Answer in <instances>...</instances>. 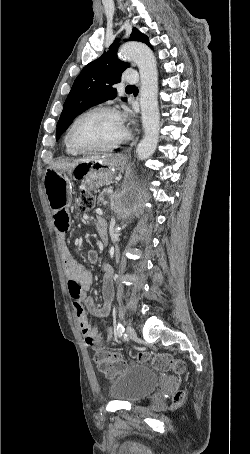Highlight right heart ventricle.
I'll list each match as a JSON object with an SVG mask.
<instances>
[{
  "instance_id": "obj_1",
  "label": "right heart ventricle",
  "mask_w": 250,
  "mask_h": 454,
  "mask_svg": "<svg viewBox=\"0 0 250 454\" xmlns=\"http://www.w3.org/2000/svg\"><path fill=\"white\" fill-rule=\"evenodd\" d=\"M64 142H65V146H66V151H67V153L72 154V155H76L77 152H76L75 150H73V149L70 147L69 143H68V133H67L66 136H65Z\"/></svg>"
}]
</instances>
